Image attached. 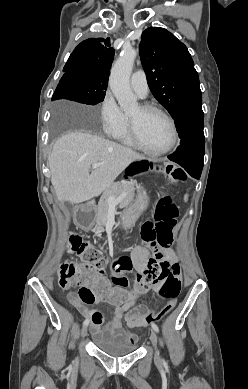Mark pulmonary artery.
<instances>
[{
	"mask_svg": "<svg viewBox=\"0 0 248 389\" xmlns=\"http://www.w3.org/2000/svg\"><path fill=\"white\" fill-rule=\"evenodd\" d=\"M130 84L133 91L140 97L146 98L149 93L148 83L144 71L134 72L130 78Z\"/></svg>",
	"mask_w": 248,
	"mask_h": 389,
	"instance_id": "obj_1",
	"label": "pulmonary artery"
}]
</instances>
